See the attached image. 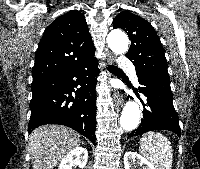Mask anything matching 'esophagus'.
Returning a JSON list of instances; mask_svg holds the SVG:
<instances>
[{"label": "esophagus", "instance_id": "34e87169", "mask_svg": "<svg viewBox=\"0 0 200 169\" xmlns=\"http://www.w3.org/2000/svg\"><path fill=\"white\" fill-rule=\"evenodd\" d=\"M114 60H115L114 55L110 54L108 56V63L112 64L114 62ZM113 98H114V101H115V104H116L117 107L123 106V103H124L123 95L118 90L113 91Z\"/></svg>", "mask_w": 200, "mask_h": 169}]
</instances>
